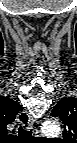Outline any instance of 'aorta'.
<instances>
[{
    "instance_id": "1",
    "label": "aorta",
    "mask_w": 77,
    "mask_h": 143,
    "mask_svg": "<svg viewBox=\"0 0 77 143\" xmlns=\"http://www.w3.org/2000/svg\"><path fill=\"white\" fill-rule=\"evenodd\" d=\"M41 130L48 136H57L60 133V125L57 122L46 121L42 124Z\"/></svg>"
}]
</instances>
